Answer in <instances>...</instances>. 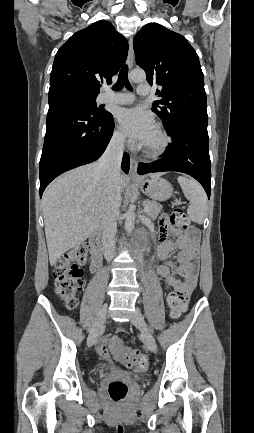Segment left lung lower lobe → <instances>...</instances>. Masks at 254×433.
Segmentation results:
<instances>
[{
    "label": "left lung lower lobe",
    "mask_w": 254,
    "mask_h": 433,
    "mask_svg": "<svg viewBox=\"0 0 254 433\" xmlns=\"http://www.w3.org/2000/svg\"><path fill=\"white\" fill-rule=\"evenodd\" d=\"M167 133L171 135L172 144L164 157L152 163H139L138 173L178 171L189 174L201 183L209 198L211 164L207 124L189 121Z\"/></svg>",
    "instance_id": "obj_1"
}]
</instances>
